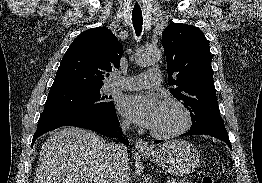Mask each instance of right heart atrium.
Listing matches in <instances>:
<instances>
[{
	"mask_svg": "<svg viewBox=\"0 0 262 183\" xmlns=\"http://www.w3.org/2000/svg\"><path fill=\"white\" fill-rule=\"evenodd\" d=\"M129 125H130V123H129V121H127V120H124V121L122 122V126H123L124 128H128Z\"/></svg>",
	"mask_w": 262,
	"mask_h": 183,
	"instance_id": "right-heart-atrium-1",
	"label": "right heart atrium"
}]
</instances>
